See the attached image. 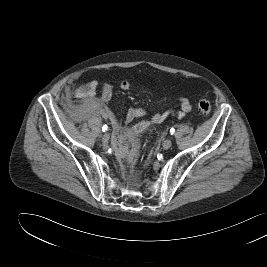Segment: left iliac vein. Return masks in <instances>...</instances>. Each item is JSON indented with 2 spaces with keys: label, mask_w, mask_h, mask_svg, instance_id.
Returning <instances> with one entry per match:
<instances>
[{
  "label": "left iliac vein",
  "mask_w": 267,
  "mask_h": 267,
  "mask_svg": "<svg viewBox=\"0 0 267 267\" xmlns=\"http://www.w3.org/2000/svg\"><path fill=\"white\" fill-rule=\"evenodd\" d=\"M171 146H172V141H171V139H166V140H164V142H163V148H164L165 150L169 149Z\"/></svg>",
  "instance_id": "4c4485c4"
}]
</instances>
